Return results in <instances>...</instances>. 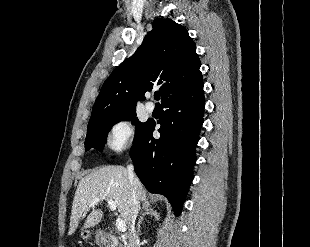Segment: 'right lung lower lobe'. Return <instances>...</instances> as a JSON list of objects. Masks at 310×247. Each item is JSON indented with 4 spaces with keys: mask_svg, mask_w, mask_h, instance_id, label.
I'll return each instance as SVG.
<instances>
[{
    "mask_svg": "<svg viewBox=\"0 0 310 247\" xmlns=\"http://www.w3.org/2000/svg\"><path fill=\"white\" fill-rule=\"evenodd\" d=\"M204 105L203 81L165 99L161 104L165 111L158 121L160 138L152 136L155 123L147 121L130 151L141 182L149 192L166 196L176 216L193 178Z\"/></svg>",
    "mask_w": 310,
    "mask_h": 247,
    "instance_id": "right-lung-lower-lobe-1",
    "label": "right lung lower lobe"
}]
</instances>
